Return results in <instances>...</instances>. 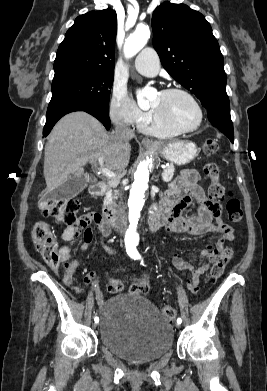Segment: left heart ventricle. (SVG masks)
Returning a JSON list of instances; mask_svg holds the SVG:
<instances>
[{
  "instance_id": "1",
  "label": "left heart ventricle",
  "mask_w": 267,
  "mask_h": 391,
  "mask_svg": "<svg viewBox=\"0 0 267 391\" xmlns=\"http://www.w3.org/2000/svg\"><path fill=\"white\" fill-rule=\"evenodd\" d=\"M151 107L164 120L181 128L194 127L198 121L194 104L181 94L164 96L159 93L152 101Z\"/></svg>"
}]
</instances>
